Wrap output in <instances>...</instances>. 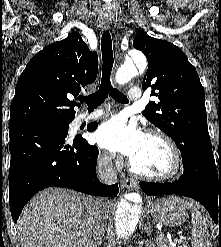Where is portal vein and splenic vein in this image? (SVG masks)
Returning <instances> with one entry per match:
<instances>
[{
  "mask_svg": "<svg viewBox=\"0 0 221 247\" xmlns=\"http://www.w3.org/2000/svg\"><path fill=\"white\" fill-rule=\"evenodd\" d=\"M169 237V236H168ZM183 239V237H181V239L178 242H181V240Z\"/></svg>",
  "mask_w": 221,
  "mask_h": 247,
  "instance_id": "portal-vein-and-splenic-vein-1",
  "label": "portal vein and splenic vein"
}]
</instances>
